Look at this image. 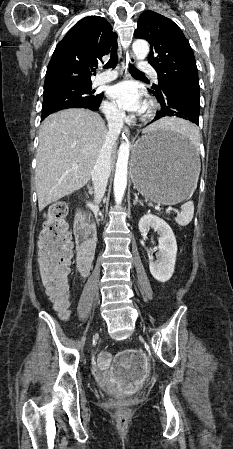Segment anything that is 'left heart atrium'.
Masks as SVG:
<instances>
[{"label": "left heart atrium", "instance_id": "left-heart-atrium-1", "mask_svg": "<svg viewBox=\"0 0 233 449\" xmlns=\"http://www.w3.org/2000/svg\"><path fill=\"white\" fill-rule=\"evenodd\" d=\"M108 95L123 110L140 112L144 107L141 93L131 82L125 81L111 86Z\"/></svg>", "mask_w": 233, "mask_h": 449}]
</instances>
